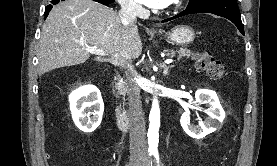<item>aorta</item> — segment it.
<instances>
[{
    "label": "aorta",
    "mask_w": 277,
    "mask_h": 166,
    "mask_svg": "<svg viewBox=\"0 0 277 166\" xmlns=\"http://www.w3.org/2000/svg\"><path fill=\"white\" fill-rule=\"evenodd\" d=\"M149 129H148V144L149 149L157 150L159 142V127H160V109L156 98L153 99L152 108L149 115Z\"/></svg>",
    "instance_id": "obj_1"
}]
</instances>
